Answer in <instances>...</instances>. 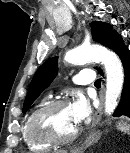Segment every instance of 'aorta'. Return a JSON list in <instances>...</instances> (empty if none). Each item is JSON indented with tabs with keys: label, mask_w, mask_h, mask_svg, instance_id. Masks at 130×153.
Masks as SVG:
<instances>
[{
	"label": "aorta",
	"mask_w": 130,
	"mask_h": 153,
	"mask_svg": "<svg viewBox=\"0 0 130 153\" xmlns=\"http://www.w3.org/2000/svg\"><path fill=\"white\" fill-rule=\"evenodd\" d=\"M64 59L74 65L90 61L101 62L104 65L107 77L105 113L111 115L118 105L124 81L122 63L116 54L101 46H81L66 53Z\"/></svg>",
	"instance_id": "aorta-1"
}]
</instances>
